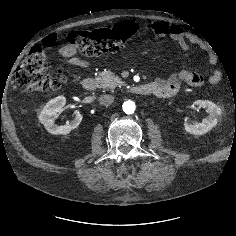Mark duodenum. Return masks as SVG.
<instances>
[{"label": "duodenum", "mask_w": 236, "mask_h": 236, "mask_svg": "<svg viewBox=\"0 0 236 236\" xmlns=\"http://www.w3.org/2000/svg\"><path fill=\"white\" fill-rule=\"evenodd\" d=\"M82 86L87 91H94L97 87V82L93 77H86L82 81ZM129 91L136 95H150L153 93V88L150 84H141L131 86Z\"/></svg>", "instance_id": "duodenum-1"}]
</instances>
